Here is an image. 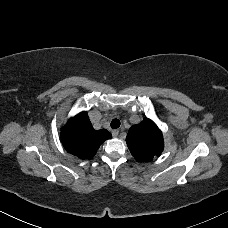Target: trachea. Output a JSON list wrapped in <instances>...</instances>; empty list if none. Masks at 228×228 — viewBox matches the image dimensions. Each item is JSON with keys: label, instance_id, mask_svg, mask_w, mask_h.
Returning <instances> with one entry per match:
<instances>
[{"label": "trachea", "instance_id": "trachea-1", "mask_svg": "<svg viewBox=\"0 0 228 228\" xmlns=\"http://www.w3.org/2000/svg\"><path fill=\"white\" fill-rule=\"evenodd\" d=\"M120 127V121L118 119H113L111 121V128L117 129Z\"/></svg>", "mask_w": 228, "mask_h": 228}]
</instances>
